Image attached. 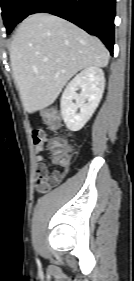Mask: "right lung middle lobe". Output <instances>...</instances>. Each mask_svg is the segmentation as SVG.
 <instances>
[{"label": "right lung middle lobe", "mask_w": 134, "mask_h": 281, "mask_svg": "<svg viewBox=\"0 0 134 281\" xmlns=\"http://www.w3.org/2000/svg\"><path fill=\"white\" fill-rule=\"evenodd\" d=\"M33 0H1L2 17L10 33L14 26L21 22L24 18L25 10Z\"/></svg>", "instance_id": "right-lung-middle-lobe-1"}]
</instances>
